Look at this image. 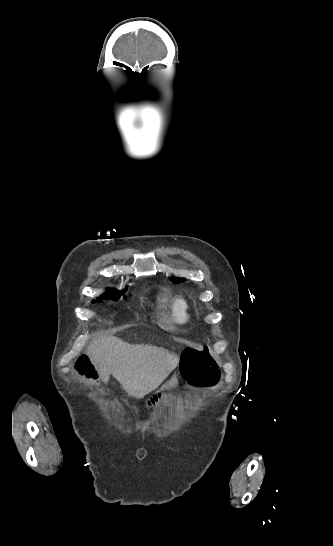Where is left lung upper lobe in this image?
Wrapping results in <instances>:
<instances>
[{
    "label": "left lung upper lobe",
    "instance_id": "left-lung-upper-lobe-1",
    "mask_svg": "<svg viewBox=\"0 0 333 546\" xmlns=\"http://www.w3.org/2000/svg\"><path fill=\"white\" fill-rule=\"evenodd\" d=\"M171 280H172L174 283H176V284H177V283H180L181 281H184L183 278H174V277H172Z\"/></svg>",
    "mask_w": 333,
    "mask_h": 546
}]
</instances>
